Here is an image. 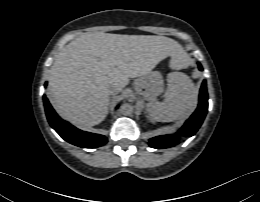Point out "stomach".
<instances>
[{"label": "stomach", "mask_w": 260, "mask_h": 202, "mask_svg": "<svg viewBox=\"0 0 260 202\" xmlns=\"http://www.w3.org/2000/svg\"><path fill=\"white\" fill-rule=\"evenodd\" d=\"M135 90L147 100H154L163 91V79L158 71H150L135 82Z\"/></svg>", "instance_id": "obj_1"}]
</instances>
